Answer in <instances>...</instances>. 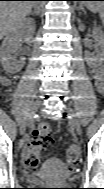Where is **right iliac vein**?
I'll use <instances>...</instances> for the list:
<instances>
[{
  "instance_id": "1",
  "label": "right iliac vein",
  "mask_w": 104,
  "mask_h": 189,
  "mask_svg": "<svg viewBox=\"0 0 104 189\" xmlns=\"http://www.w3.org/2000/svg\"><path fill=\"white\" fill-rule=\"evenodd\" d=\"M41 106V101L40 100H36L31 108V112L28 116V118L21 124L19 132L20 134H24L26 131V128L28 126H31L33 123V115L35 114V112L40 108Z\"/></svg>"
}]
</instances>
